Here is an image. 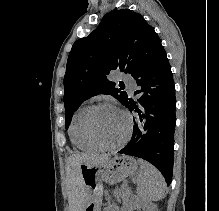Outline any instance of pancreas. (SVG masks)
I'll use <instances>...</instances> for the list:
<instances>
[{"label": "pancreas", "instance_id": "cf45deb5", "mask_svg": "<svg viewBox=\"0 0 219 211\" xmlns=\"http://www.w3.org/2000/svg\"><path fill=\"white\" fill-rule=\"evenodd\" d=\"M117 191H118V193H114L113 195L117 196L118 200H125V199H127L126 193L129 192L128 188H125V186H121L120 189H118Z\"/></svg>", "mask_w": 219, "mask_h": 211}]
</instances>
